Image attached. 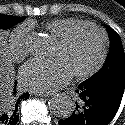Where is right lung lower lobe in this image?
I'll return each mask as SVG.
<instances>
[{
    "label": "right lung lower lobe",
    "mask_w": 125,
    "mask_h": 125,
    "mask_svg": "<svg viewBox=\"0 0 125 125\" xmlns=\"http://www.w3.org/2000/svg\"><path fill=\"white\" fill-rule=\"evenodd\" d=\"M14 98L11 103L0 108V125H17L19 119L18 105L21 99L29 98V93L22 94L19 98L16 97V87L13 92Z\"/></svg>",
    "instance_id": "98d812e1"
}]
</instances>
